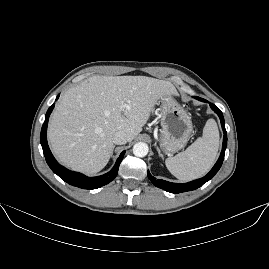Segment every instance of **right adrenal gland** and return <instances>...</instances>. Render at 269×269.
I'll list each match as a JSON object with an SVG mask.
<instances>
[{"label":"right adrenal gland","mask_w":269,"mask_h":269,"mask_svg":"<svg viewBox=\"0 0 269 269\" xmlns=\"http://www.w3.org/2000/svg\"><path fill=\"white\" fill-rule=\"evenodd\" d=\"M114 148H115V146H113V148H112V152H111V155L113 154Z\"/></svg>","instance_id":"1"}]
</instances>
